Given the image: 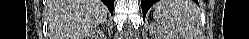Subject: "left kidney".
Wrapping results in <instances>:
<instances>
[{"label":"left kidney","instance_id":"left-kidney-1","mask_svg":"<svg viewBox=\"0 0 249 39\" xmlns=\"http://www.w3.org/2000/svg\"><path fill=\"white\" fill-rule=\"evenodd\" d=\"M158 38L159 39H172L174 37L172 36V34H170V33H168V32L165 31L163 34H160L158 36Z\"/></svg>","mask_w":249,"mask_h":39}]
</instances>
